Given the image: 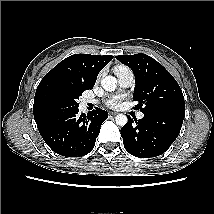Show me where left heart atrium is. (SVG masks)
I'll return each instance as SVG.
<instances>
[{
  "label": "left heart atrium",
  "instance_id": "39dd6f15",
  "mask_svg": "<svg viewBox=\"0 0 214 214\" xmlns=\"http://www.w3.org/2000/svg\"><path fill=\"white\" fill-rule=\"evenodd\" d=\"M123 99H124V96L121 94L109 96L106 100V105L111 108H117L120 106Z\"/></svg>",
  "mask_w": 214,
  "mask_h": 214
}]
</instances>
